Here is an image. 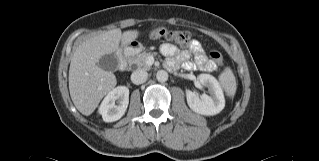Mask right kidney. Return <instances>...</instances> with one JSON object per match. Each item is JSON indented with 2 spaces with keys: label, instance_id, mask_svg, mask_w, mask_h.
Returning <instances> with one entry per match:
<instances>
[{
  "label": "right kidney",
  "instance_id": "1",
  "mask_svg": "<svg viewBox=\"0 0 319 161\" xmlns=\"http://www.w3.org/2000/svg\"><path fill=\"white\" fill-rule=\"evenodd\" d=\"M129 104V89L126 86H117L111 90L99 107L104 122L119 120Z\"/></svg>",
  "mask_w": 319,
  "mask_h": 161
}]
</instances>
